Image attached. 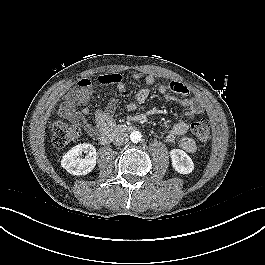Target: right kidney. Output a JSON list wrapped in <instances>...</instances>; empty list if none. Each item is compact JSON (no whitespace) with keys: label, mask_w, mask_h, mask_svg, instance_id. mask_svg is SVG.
<instances>
[{"label":"right kidney","mask_w":265,"mask_h":265,"mask_svg":"<svg viewBox=\"0 0 265 265\" xmlns=\"http://www.w3.org/2000/svg\"><path fill=\"white\" fill-rule=\"evenodd\" d=\"M82 153H86L85 158H80ZM96 149L88 143L78 144L71 148L62 158L61 166L73 175H86L91 172L96 165Z\"/></svg>","instance_id":"obj_1"}]
</instances>
